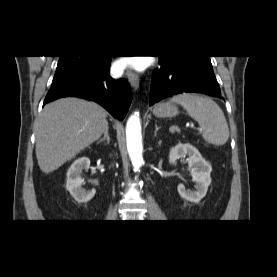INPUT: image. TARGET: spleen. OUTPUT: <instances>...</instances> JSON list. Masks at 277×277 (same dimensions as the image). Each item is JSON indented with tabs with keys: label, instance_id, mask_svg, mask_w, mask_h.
Here are the masks:
<instances>
[{
	"label": "spleen",
	"instance_id": "spleen-1",
	"mask_svg": "<svg viewBox=\"0 0 277 277\" xmlns=\"http://www.w3.org/2000/svg\"><path fill=\"white\" fill-rule=\"evenodd\" d=\"M171 102L180 104L198 122L203 139L222 146L229 138V128L222 109L211 98L191 93L174 96Z\"/></svg>",
	"mask_w": 277,
	"mask_h": 277
}]
</instances>
